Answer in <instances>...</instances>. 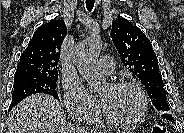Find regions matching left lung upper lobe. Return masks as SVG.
Here are the masks:
<instances>
[{
    "instance_id": "obj_1",
    "label": "left lung upper lobe",
    "mask_w": 184,
    "mask_h": 133,
    "mask_svg": "<svg viewBox=\"0 0 184 133\" xmlns=\"http://www.w3.org/2000/svg\"><path fill=\"white\" fill-rule=\"evenodd\" d=\"M111 37L122 63L144 84L155 108L169 111L158 59L146 35L127 19L120 18L112 22Z\"/></svg>"
}]
</instances>
